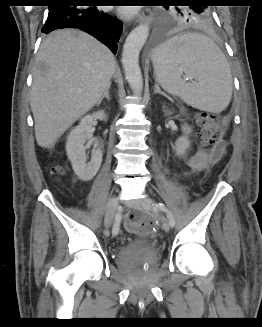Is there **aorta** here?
<instances>
[{
	"label": "aorta",
	"mask_w": 262,
	"mask_h": 327,
	"mask_svg": "<svg viewBox=\"0 0 262 327\" xmlns=\"http://www.w3.org/2000/svg\"><path fill=\"white\" fill-rule=\"evenodd\" d=\"M149 35V26L140 24L126 38L122 52L125 78L136 94H141L143 78L139 66V54Z\"/></svg>",
	"instance_id": "762f6f07"
}]
</instances>
